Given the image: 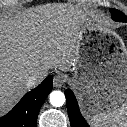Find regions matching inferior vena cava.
<instances>
[{"label": "inferior vena cava", "mask_w": 127, "mask_h": 127, "mask_svg": "<svg viewBox=\"0 0 127 127\" xmlns=\"http://www.w3.org/2000/svg\"><path fill=\"white\" fill-rule=\"evenodd\" d=\"M47 76V72H39L36 75L29 77L27 81V86L29 88H33L37 85V83L43 80Z\"/></svg>", "instance_id": "1"}]
</instances>
